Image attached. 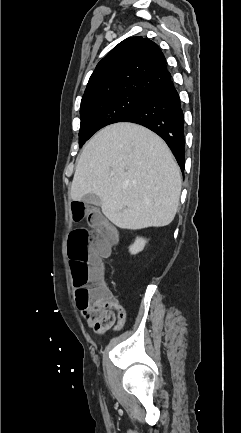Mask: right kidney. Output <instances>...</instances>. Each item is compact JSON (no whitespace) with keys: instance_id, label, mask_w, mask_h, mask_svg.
<instances>
[{"instance_id":"ca27d5eb","label":"right kidney","mask_w":241,"mask_h":433,"mask_svg":"<svg viewBox=\"0 0 241 433\" xmlns=\"http://www.w3.org/2000/svg\"><path fill=\"white\" fill-rule=\"evenodd\" d=\"M147 243V240L144 238H136L135 242L129 247V252L132 255H136L139 252H141L145 245Z\"/></svg>"}]
</instances>
